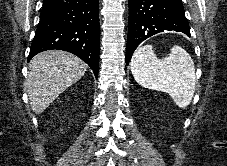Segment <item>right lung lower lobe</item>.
Listing matches in <instances>:
<instances>
[{
    "instance_id": "right-lung-lower-lobe-1",
    "label": "right lung lower lobe",
    "mask_w": 227,
    "mask_h": 166,
    "mask_svg": "<svg viewBox=\"0 0 227 166\" xmlns=\"http://www.w3.org/2000/svg\"><path fill=\"white\" fill-rule=\"evenodd\" d=\"M99 41L98 0H44L28 61L46 50H64L85 61L97 78Z\"/></svg>"
}]
</instances>
